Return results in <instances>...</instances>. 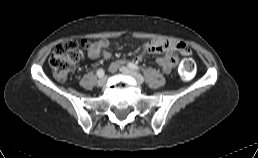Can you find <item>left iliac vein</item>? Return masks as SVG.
<instances>
[{"label": "left iliac vein", "mask_w": 258, "mask_h": 158, "mask_svg": "<svg viewBox=\"0 0 258 158\" xmlns=\"http://www.w3.org/2000/svg\"><path fill=\"white\" fill-rule=\"evenodd\" d=\"M120 71L125 75H129V76L133 77L139 84H143L144 79L139 73H137L127 67H120Z\"/></svg>", "instance_id": "left-iliac-vein-1"}]
</instances>
